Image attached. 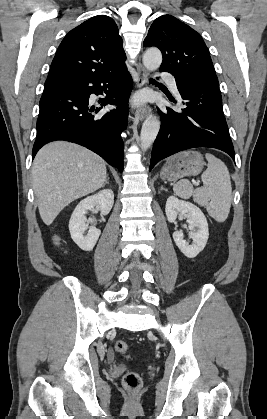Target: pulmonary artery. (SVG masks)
I'll list each match as a JSON object with an SVG mask.
<instances>
[{"label": "pulmonary artery", "mask_w": 267, "mask_h": 419, "mask_svg": "<svg viewBox=\"0 0 267 419\" xmlns=\"http://www.w3.org/2000/svg\"><path fill=\"white\" fill-rule=\"evenodd\" d=\"M162 78L168 83L171 90L174 93L178 94V89H177V84H176L175 78L171 74H168V73H163Z\"/></svg>", "instance_id": "pulmonary-artery-1"}]
</instances>
